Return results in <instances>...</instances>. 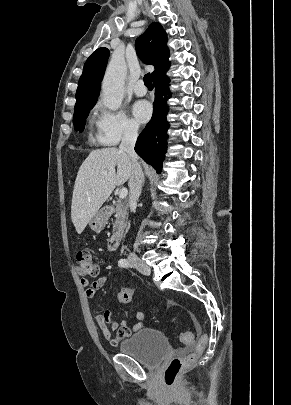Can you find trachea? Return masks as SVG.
Masks as SVG:
<instances>
[{
  "label": "trachea",
  "mask_w": 291,
  "mask_h": 405,
  "mask_svg": "<svg viewBox=\"0 0 291 405\" xmlns=\"http://www.w3.org/2000/svg\"><path fill=\"white\" fill-rule=\"evenodd\" d=\"M143 80L147 88H153L150 73L145 74Z\"/></svg>",
  "instance_id": "trachea-1"
}]
</instances>
